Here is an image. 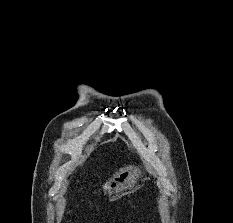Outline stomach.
<instances>
[{
    "label": "stomach",
    "instance_id": "1",
    "mask_svg": "<svg viewBox=\"0 0 233 223\" xmlns=\"http://www.w3.org/2000/svg\"><path fill=\"white\" fill-rule=\"evenodd\" d=\"M143 169L140 165H135V163H128V165H123L119 167L118 171L104 181L101 185L103 193H108V195H120L121 191H126V189H132L133 185L139 181L140 177H143Z\"/></svg>",
    "mask_w": 233,
    "mask_h": 223
}]
</instances>
